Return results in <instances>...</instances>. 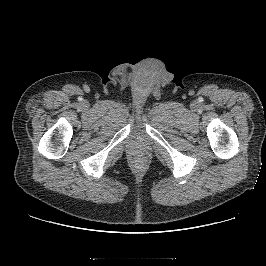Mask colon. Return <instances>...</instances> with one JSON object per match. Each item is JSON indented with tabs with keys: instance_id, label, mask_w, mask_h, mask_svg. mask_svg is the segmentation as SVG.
I'll return each mask as SVG.
<instances>
[{
	"instance_id": "obj_1",
	"label": "colon",
	"mask_w": 266,
	"mask_h": 266,
	"mask_svg": "<svg viewBox=\"0 0 266 266\" xmlns=\"http://www.w3.org/2000/svg\"><path fill=\"white\" fill-rule=\"evenodd\" d=\"M134 166H135L136 169L140 170V169H142L143 164H142L141 162L138 161V162L135 163Z\"/></svg>"
}]
</instances>
